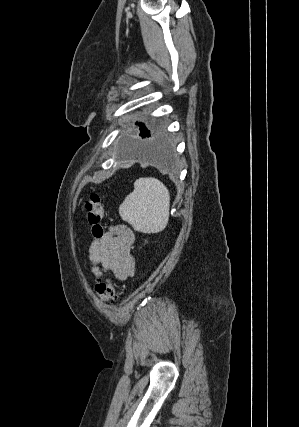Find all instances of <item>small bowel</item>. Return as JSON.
I'll return each mask as SVG.
<instances>
[{
  "instance_id": "c3829d8e",
  "label": "small bowel",
  "mask_w": 299,
  "mask_h": 427,
  "mask_svg": "<svg viewBox=\"0 0 299 427\" xmlns=\"http://www.w3.org/2000/svg\"><path fill=\"white\" fill-rule=\"evenodd\" d=\"M134 242L135 234L125 224L111 226L100 239L93 240L89 246L88 260L94 276L102 277V270L111 271L118 280L132 276L135 270L132 255Z\"/></svg>"
}]
</instances>
